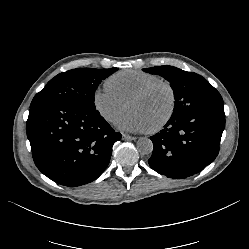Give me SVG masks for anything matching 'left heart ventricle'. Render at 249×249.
Here are the masks:
<instances>
[{"mask_svg": "<svg viewBox=\"0 0 249 249\" xmlns=\"http://www.w3.org/2000/svg\"><path fill=\"white\" fill-rule=\"evenodd\" d=\"M170 104V95L167 89L158 87L149 95L129 102L127 109L139 113L150 129L165 117L169 111Z\"/></svg>", "mask_w": 249, "mask_h": 249, "instance_id": "1", "label": "left heart ventricle"}]
</instances>
